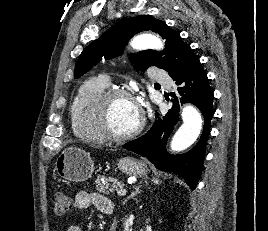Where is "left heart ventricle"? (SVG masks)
<instances>
[{
    "label": "left heart ventricle",
    "mask_w": 268,
    "mask_h": 231,
    "mask_svg": "<svg viewBox=\"0 0 268 231\" xmlns=\"http://www.w3.org/2000/svg\"><path fill=\"white\" fill-rule=\"evenodd\" d=\"M140 119L139 107L129 98H118L110 107V125L117 133H127L134 130L139 125Z\"/></svg>",
    "instance_id": "left-heart-ventricle-1"
}]
</instances>
